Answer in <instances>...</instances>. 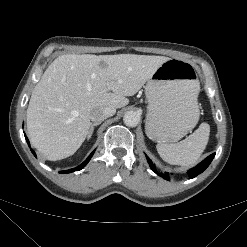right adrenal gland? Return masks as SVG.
<instances>
[{
  "instance_id": "right-adrenal-gland-1",
  "label": "right adrenal gland",
  "mask_w": 247,
  "mask_h": 247,
  "mask_svg": "<svg viewBox=\"0 0 247 247\" xmlns=\"http://www.w3.org/2000/svg\"><path fill=\"white\" fill-rule=\"evenodd\" d=\"M99 124H100V123H93V124L91 125L90 130H89V134H88V136H87V140H89V139L91 138L92 133H93V131H94V127L97 126V125H99Z\"/></svg>"
}]
</instances>
